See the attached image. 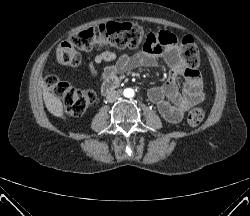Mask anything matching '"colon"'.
<instances>
[{
	"label": "colon",
	"mask_w": 250,
	"mask_h": 216,
	"mask_svg": "<svg viewBox=\"0 0 250 216\" xmlns=\"http://www.w3.org/2000/svg\"><path fill=\"white\" fill-rule=\"evenodd\" d=\"M144 29L130 22H108L75 33L63 41L57 48V59L67 66L78 65L81 61V51L92 48H136L142 45ZM179 52L184 65L195 70L200 61L198 47L190 36L178 41ZM144 48V47H143ZM46 84L62 101L65 112L70 116L82 115L94 102L95 94L91 90L77 89L62 81L56 75H50ZM205 116V109L198 105L190 110L187 121L191 126L199 125Z\"/></svg>",
	"instance_id": "obj_1"
}]
</instances>
